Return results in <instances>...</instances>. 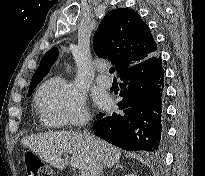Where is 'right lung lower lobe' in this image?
<instances>
[{
    "label": "right lung lower lobe",
    "instance_id": "right-lung-lower-lobe-1",
    "mask_svg": "<svg viewBox=\"0 0 205 176\" xmlns=\"http://www.w3.org/2000/svg\"><path fill=\"white\" fill-rule=\"evenodd\" d=\"M118 103L120 112L93 124L98 137L128 151L161 153L164 140V69L160 55L150 56L127 68Z\"/></svg>",
    "mask_w": 205,
    "mask_h": 176
}]
</instances>
